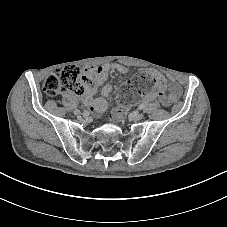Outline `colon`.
I'll return each instance as SVG.
<instances>
[{
  "instance_id": "colon-1",
  "label": "colon",
  "mask_w": 227,
  "mask_h": 227,
  "mask_svg": "<svg viewBox=\"0 0 227 227\" xmlns=\"http://www.w3.org/2000/svg\"><path fill=\"white\" fill-rule=\"evenodd\" d=\"M154 85L155 81L148 73L135 75L120 87L118 93L120 105L125 106L137 101L144 92L153 88ZM43 90L48 96H55L64 90L82 94L84 84L80 70L75 66H65L58 69L45 79ZM119 114L120 110L118 109L115 111V115L119 116Z\"/></svg>"
}]
</instances>
